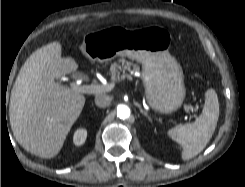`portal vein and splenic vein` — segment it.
<instances>
[{
	"label": "portal vein and splenic vein",
	"mask_w": 245,
	"mask_h": 187,
	"mask_svg": "<svg viewBox=\"0 0 245 187\" xmlns=\"http://www.w3.org/2000/svg\"><path fill=\"white\" fill-rule=\"evenodd\" d=\"M127 78L132 81V77L130 75H123L122 79ZM114 83H110L108 85H82L80 86L78 82H71L70 88L74 91H78L80 93H99V92H108L114 88ZM185 112L191 117V111H193V107L185 106Z\"/></svg>",
	"instance_id": "1"
}]
</instances>
